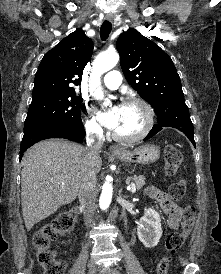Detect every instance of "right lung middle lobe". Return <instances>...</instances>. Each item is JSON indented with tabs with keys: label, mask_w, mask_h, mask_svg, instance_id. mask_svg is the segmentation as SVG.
<instances>
[{
	"label": "right lung middle lobe",
	"mask_w": 221,
	"mask_h": 274,
	"mask_svg": "<svg viewBox=\"0 0 221 274\" xmlns=\"http://www.w3.org/2000/svg\"><path fill=\"white\" fill-rule=\"evenodd\" d=\"M80 105L81 100L75 93L32 99L24 130L47 123L83 127Z\"/></svg>",
	"instance_id": "1"
}]
</instances>
